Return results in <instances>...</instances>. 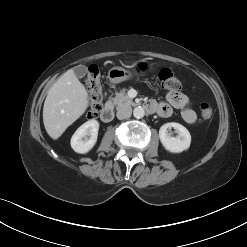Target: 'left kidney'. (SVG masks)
Returning <instances> with one entry per match:
<instances>
[{"label":"left kidney","instance_id":"5707ae66","mask_svg":"<svg viewBox=\"0 0 247 247\" xmlns=\"http://www.w3.org/2000/svg\"><path fill=\"white\" fill-rule=\"evenodd\" d=\"M174 128L178 133L177 137H172L168 133V128ZM159 138L163 147L172 153H180L190 147L191 135L189 131L179 123H166L159 130Z\"/></svg>","mask_w":247,"mask_h":247}]
</instances>
